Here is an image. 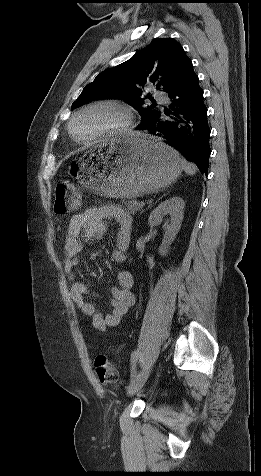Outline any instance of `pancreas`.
<instances>
[{"label":"pancreas","mask_w":261,"mask_h":476,"mask_svg":"<svg viewBox=\"0 0 261 476\" xmlns=\"http://www.w3.org/2000/svg\"><path fill=\"white\" fill-rule=\"evenodd\" d=\"M125 205L127 212L133 215L142 209V206L139 205V202H137L136 200L128 201L125 203Z\"/></svg>","instance_id":"cf45deb5"}]
</instances>
